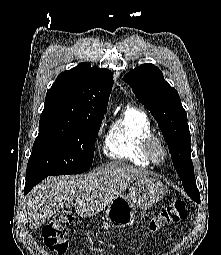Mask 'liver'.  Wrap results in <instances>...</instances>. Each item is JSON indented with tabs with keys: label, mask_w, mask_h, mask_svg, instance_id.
Masks as SVG:
<instances>
[{
	"label": "liver",
	"mask_w": 221,
	"mask_h": 255,
	"mask_svg": "<svg viewBox=\"0 0 221 255\" xmlns=\"http://www.w3.org/2000/svg\"><path fill=\"white\" fill-rule=\"evenodd\" d=\"M148 174L145 169L116 161L88 174L48 177L27 195L29 227L41 226L64 207L75 206L81 217L96 216L133 181Z\"/></svg>",
	"instance_id": "1"
}]
</instances>
